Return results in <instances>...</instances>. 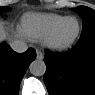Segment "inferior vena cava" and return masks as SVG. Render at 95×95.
Segmentation results:
<instances>
[{"mask_svg": "<svg viewBox=\"0 0 95 95\" xmlns=\"http://www.w3.org/2000/svg\"><path fill=\"white\" fill-rule=\"evenodd\" d=\"M10 47L17 53H23L27 50V45L24 41L16 39L10 43Z\"/></svg>", "mask_w": 95, "mask_h": 95, "instance_id": "obj_1", "label": "inferior vena cava"}]
</instances>
